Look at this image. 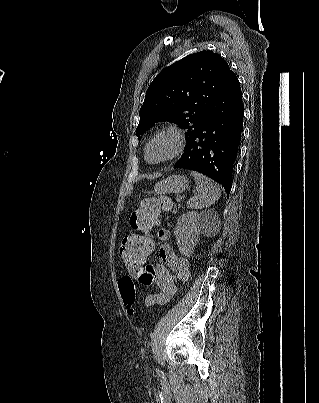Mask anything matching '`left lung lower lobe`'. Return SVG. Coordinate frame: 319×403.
Listing matches in <instances>:
<instances>
[{"mask_svg":"<svg viewBox=\"0 0 319 403\" xmlns=\"http://www.w3.org/2000/svg\"><path fill=\"white\" fill-rule=\"evenodd\" d=\"M243 116L241 88L231 71L174 168L198 171L220 183L229 195Z\"/></svg>","mask_w":319,"mask_h":403,"instance_id":"1","label":"left lung lower lobe"}]
</instances>
